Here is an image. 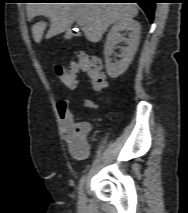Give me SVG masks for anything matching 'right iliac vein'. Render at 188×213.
<instances>
[{
  "label": "right iliac vein",
  "mask_w": 188,
  "mask_h": 213,
  "mask_svg": "<svg viewBox=\"0 0 188 213\" xmlns=\"http://www.w3.org/2000/svg\"><path fill=\"white\" fill-rule=\"evenodd\" d=\"M81 196H82V198H83V197H84V193H82V195H81Z\"/></svg>",
  "instance_id": "63e3f726"
}]
</instances>
